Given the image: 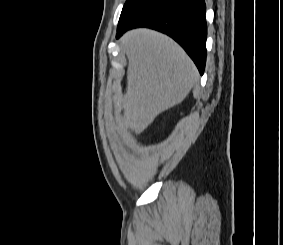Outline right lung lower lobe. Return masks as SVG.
Segmentation results:
<instances>
[{"instance_id": "98d812e1", "label": "right lung lower lobe", "mask_w": 283, "mask_h": 245, "mask_svg": "<svg viewBox=\"0 0 283 245\" xmlns=\"http://www.w3.org/2000/svg\"><path fill=\"white\" fill-rule=\"evenodd\" d=\"M205 11L204 0H150L130 18L118 24L117 38L136 27L161 31L185 49L202 75L206 62Z\"/></svg>"}]
</instances>
